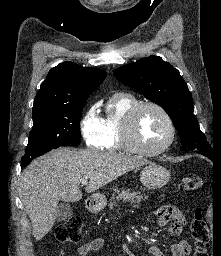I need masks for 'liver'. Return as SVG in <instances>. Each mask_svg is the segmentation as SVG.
I'll use <instances>...</instances> for the list:
<instances>
[{"instance_id":"obj_1","label":"liver","mask_w":221,"mask_h":256,"mask_svg":"<svg viewBox=\"0 0 221 256\" xmlns=\"http://www.w3.org/2000/svg\"><path fill=\"white\" fill-rule=\"evenodd\" d=\"M147 159L115 152L58 148L32 161L19 180V194L32 223L34 238L41 240L54 226L58 202L82 199L80 183L89 180L92 193L125 173L150 164Z\"/></svg>"}]
</instances>
